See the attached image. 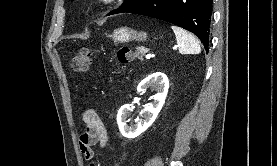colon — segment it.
Here are the masks:
<instances>
[{
	"label": "colon",
	"instance_id": "obj_1",
	"mask_svg": "<svg viewBox=\"0 0 277 166\" xmlns=\"http://www.w3.org/2000/svg\"><path fill=\"white\" fill-rule=\"evenodd\" d=\"M92 51L89 49L80 50L71 61V68L75 72H85L92 63ZM117 58L120 63L129 64L133 61V54L127 46H119Z\"/></svg>",
	"mask_w": 277,
	"mask_h": 166
}]
</instances>
